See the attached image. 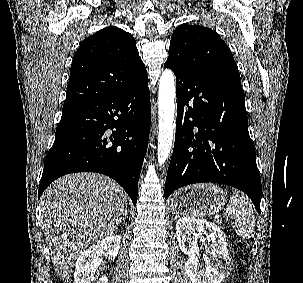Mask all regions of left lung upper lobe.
<instances>
[{
    "mask_svg": "<svg viewBox=\"0 0 303 283\" xmlns=\"http://www.w3.org/2000/svg\"><path fill=\"white\" fill-rule=\"evenodd\" d=\"M165 64L193 75L223 73L241 79L227 44L215 31L199 25L182 24L173 32Z\"/></svg>",
    "mask_w": 303,
    "mask_h": 283,
    "instance_id": "obj_1",
    "label": "left lung upper lobe"
}]
</instances>
